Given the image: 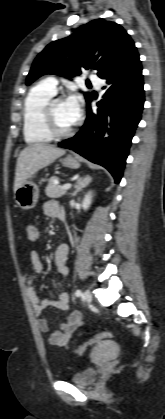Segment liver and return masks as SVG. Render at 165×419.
I'll return each instance as SVG.
<instances>
[{
    "mask_svg": "<svg viewBox=\"0 0 165 419\" xmlns=\"http://www.w3.org/2000/svg\"><path fill=\"white\" fill-rule=\"evenodd\" d=\"M64 154V149L49 144L40 143L25 147L17 159L14 192L37 171L52 164Z\"/></svg>",
    "mask_w": 165,
    "mask_h": 419,
    "instance_id": "liver-1",
    "label": "liver"
}]
</instances>
